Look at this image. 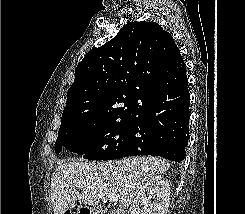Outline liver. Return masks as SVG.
Returning <instances> with one entry per match:
<instances>
[{
    "mask_svg": "<svg viewBox=\"0 0 245 214\" xmlns=\"http://www.w3.org/2000/svg\"><path fill=\"white\" fill-rule=\"evenodd\" d=\"M169 167V162L151 156L99 163H62L51 178L54 214H64L76 201L95 206L111 194L118 195L120 208H126L146 182ZM79 183L81 187L74 185Z\"/></svg>",
    "mask_w": 245,
    "mask_h": 214,
    "instance_id": "obj_1",
    "label": "liver"
}]
</instances>
